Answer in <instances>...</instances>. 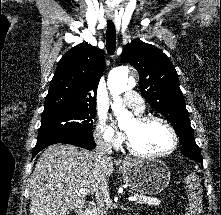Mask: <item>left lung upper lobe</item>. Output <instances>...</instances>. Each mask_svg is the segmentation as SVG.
Listing matches in <instances>:
<instances>
[{"label": "left lung upper lobe", "mask_w": 221, "mask_h": 215, "mask_svg": "<svg viewBox=\"0 0 221 215\" xmlns=\"http://www.w3.org/2000/svg\"><path fill=\"white\" fill-rule=\"evenodd\" d=\"M121 58L139 72L142 95L172 124L183 154L192 159L202 158L193 136L177 72L167 55L155 46L135 39L125 45Z\"/></svg>", "instance_id": "obj_1"}]
</instances>
